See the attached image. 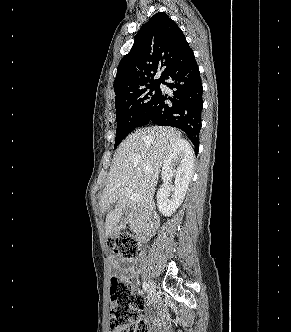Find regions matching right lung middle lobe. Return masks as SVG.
<instances>
[{"label":"right lung middle lobe","instance_id":"obj_1","mask_svg":"<svg viewBox=\"0 0 291 332\" xmlns=\"http://www.w3.org/2000/svg\"><path fill=\"white\" fill-rule=\"evenodd\" d=\"M160 83L161 81L152 83L115 100L117 117L115 147L129 133L140 126L146 113L161 92Z\"/></svg>","mask_w":291,"mask_h":332}]
</instances>
